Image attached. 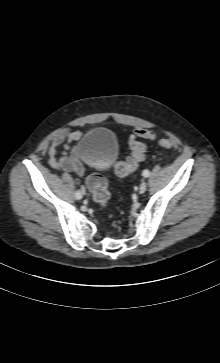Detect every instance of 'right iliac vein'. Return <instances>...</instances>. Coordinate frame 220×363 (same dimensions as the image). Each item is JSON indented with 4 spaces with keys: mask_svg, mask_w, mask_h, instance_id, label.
I'll use <instances>...</instances> for the list:
<instances>
[{
    "mask_svg": "<svg viewBox=\"0 0 220 363\" xmlns=\"http://www.w3.org/2000/svg\"><path fill=\"white\" fill-rule=\"evenodd\" d=\"M82 194H85V189L84 188L81 189V195Z\"/></svg>",
    "mask_w": 220,
    "mask_h": 363,
    "instance_id": "obj_1",
    "label": "right iliac vein"
}]
</instances>
